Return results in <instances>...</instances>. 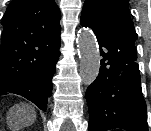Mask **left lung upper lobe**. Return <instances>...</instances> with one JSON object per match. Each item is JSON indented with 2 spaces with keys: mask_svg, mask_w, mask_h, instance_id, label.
<instances>
[{
  "mask_svg": "<svg viewBox=\"0 0 151 131\" xmlns=\"http://www.w3.org/2000/svg\"><path fill=\"white\" fill-rule=\"evenodd\" d=\"M128 0H86L81 21L88 20L114 33L124 45V50L136 59L134 42L137 34L130 18Z\"/></svg>",
  "mask_w": 151,
  "mask_h": 131,
  "instance_id": "left-lung-upper-lobe-1",
  "label": "left lung upper lobe"
}]
</instances>
